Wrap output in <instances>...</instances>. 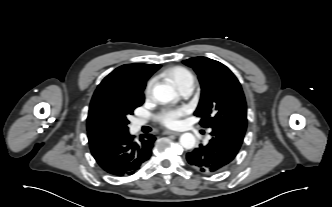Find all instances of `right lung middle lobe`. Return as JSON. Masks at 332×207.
<instances>
[{
  "instance_id": "dd1d6c3e",
  "label": "right lung middle lobe",
  "mask_w": 332,
  "mask_h": 207,
  "mask_svg": "<svg viewBox=\"0 0 332 207\" xmlns=\"http://www.w3.org/2000/svg\"><path fill=\"white\" fill-rule=\"evenodd\" d=\"M143 103L144 94L142 92H119L95 110L94 124L107 135L123 133L128 130L127 115L133 114L134 109Z\"/></svg>"
}]
</instances>
